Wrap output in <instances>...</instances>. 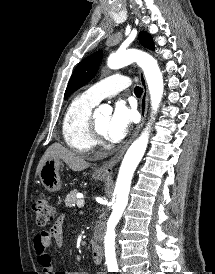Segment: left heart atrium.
I'll list each match as a JSON object with an SVG mask.
<instances>
[{"label": "left heart atrium", "mask_w": 215, "mask_h": 274, "mask_svg": "<svg viewBox=\"0 0 215 274\" xmlns=\"http://www.w3.org/2000/svg\"><path fill=\"white\" fill-rule=\"evenodd\" d=\"M135 115L133 110L123 103H117L109 118L105 135L111 142H119L128 133Z\"/></svg>", "instance_id": "left-heart-atrium-1"}]
</instances>
